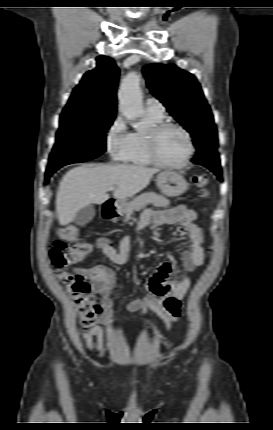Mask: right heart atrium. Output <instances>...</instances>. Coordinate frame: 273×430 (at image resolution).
<instances>
[{
	"label": "right heart atrium",
	"instance_id": "d8ad5b80",
	"mask_svg": "<svg viewBox=\"0 0 273 430\" xmlns=\"http://www.w3.org/2000/svg\"><path fill=\"white\" fill-rule=\"evenodd\" d=\"M133 133L122 116H117L108 127L105 137L107 151L115 161L126 162L133 148Z\"/></svg>",
	"mask_w": 273,
	"mask_h": 430
}]
</instances>
